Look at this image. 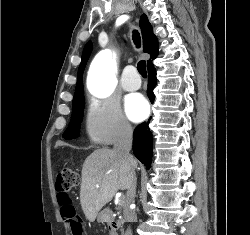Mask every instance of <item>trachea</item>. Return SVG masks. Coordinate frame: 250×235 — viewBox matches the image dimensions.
I'll use <instances>...</instances> for the list:
<instances>
[{"label":"trachea","instance_id":"trachea-1","mask_svg":"<svg viewBox=\"0 0 250 235\" xmlns=\"http://www.w3.org/2000/svg\"><path fill=\"white\" fill-rule=\"evenodd\" d=\"M133 41H134L136 47L139 48L140 44H141V40H140V35H139V33H138L137 30L133 31ZM137 69H138V72L143 77L147 76L146 62H145V60H141V61L138 62Z\"/></svg>","mask_w":250,"mask_h":235}]
</instances>
